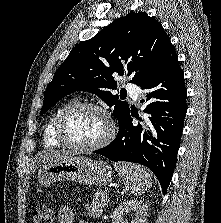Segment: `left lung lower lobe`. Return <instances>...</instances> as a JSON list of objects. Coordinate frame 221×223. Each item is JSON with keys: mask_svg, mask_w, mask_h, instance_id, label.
<instances>
[{"mask_svg": "<svg viewBox=\"0 0 221 223\" xmlns=\"http://www.w3.org/2000/svg\"><path fill=\"white\" fill-rule=\"evenodd\" d=\"M141 89L148 102L141 118L128 111L119 122L116 138L108 146L94 151L110 160L147 166L155 174L165 194L176 166L177 153L187 111L184 74L172 44ZM139 119L133 125L132 117Z\"/></svg>", "mask_w": 221, "mask_h": 223, "instance_id": "0a47b994", "label": "left lung lower lobe"}]
</instances>
